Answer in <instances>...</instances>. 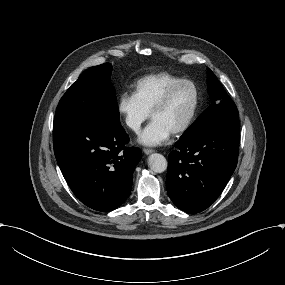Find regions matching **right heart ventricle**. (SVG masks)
Here are the masks:
<instances>
[{"instance_id":"right-heart-ventricle-1","label":"right heart ventricle","mask_w":285,"mask_h":285,"mask_svg":"<svg viewBox=\"0 0 285 285\" xmlns=\"http://www.w3.org/2000/svg\"><path fill=\"white\" fill-rule=\"evenodd\" d=\"M181 79V77L166 71L156 72L139 79L134 90L142 105L151 112L165 90Z\"/></svg>"}]
</instances>
